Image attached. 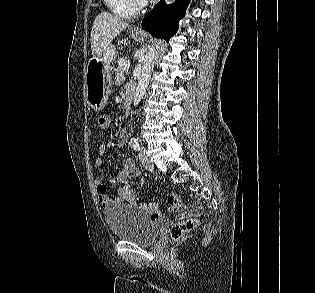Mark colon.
I'll return each mask as SVG.
<instances>
[{
  "mask_svg": "<svg viewBox=\"0 0 315 293\" xmlns=\"http://www.w3.org/2000/svg\"><path fill=\"white\" fill-rule=\"evenodd\" d=\"M109 124V116L102 114L98 118V125L101 130H106ZM168 202L175 208L181 207V199L176 193H171L168 196ZM200 205L191 204L187 209V216L181 221L175 223L171 228V237L174 241H181L187 233L196 229L199 225V221L196 218L191 217L194 214L200 212Z\"/></svg>",
  "mask_w": 315,
  "mask_h": 293,
  "instance_id": "colon-1",
  "label": "colon"
}]
</instances>
